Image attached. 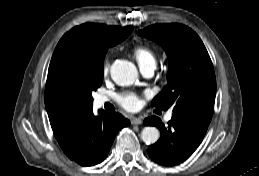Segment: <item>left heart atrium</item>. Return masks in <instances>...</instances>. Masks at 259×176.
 <instances>
[{
	"label": "left heart atrium",
	"instance_id": "obj_1",
	"mask_svg": "<svg viewBox=\"0 0 259 176\" xmlns=\"http://www.w3.org/2000/svg\"><path fill=\"white\" fill-rule=\"evenodd\" d=\"M119 104L127 110H134L139 106V98L134 93H123L118 96Z\"/></svg>",
	"mask_w": 259,
	"mask_h": 176
}]
</instances>
